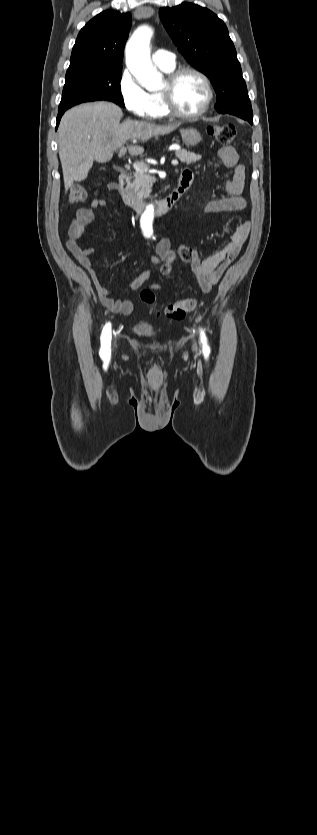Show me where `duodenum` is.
<instances>
[{
  "label": "duodenum",
  "instance_id": "1",
  "mask_svg": "<svg viewBox=\"0 0 317 835\" xmlns=\"http://www.w3.org/2000/svg\"><path fill=\"white\" fill-rule=\"evenodd\" d=\"M130 178L126 172H122L118 178V186L120 188L122 198L126 205L136 212H142L148 203L129 191ZM189 184L180 179L178 186L167 197L162 200L154 201L153 205L158 214H166L170 212L177 204L183 193L188 188Z\"/></svg>",
  "mask_w": 317,
  "mask_h": 835
}]
</instances>
